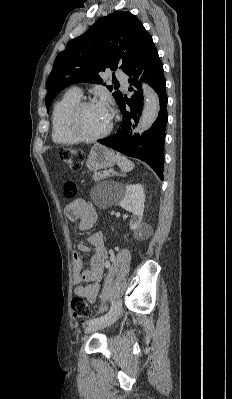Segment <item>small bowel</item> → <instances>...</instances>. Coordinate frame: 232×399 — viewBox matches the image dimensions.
I'll return each instance as SVG.
<instances>
[{"mask_svg":"<svg viewBox=\"0 0 232 399\" xmlns=\"http://www.w3.org/2000/svg\"><path fill=\"white\" fill-rule=\"evenodd\" d=\"M67 215L79 218V229L90 230L94 227L96 221V208L93 203L86 198H76L69 203L65 209ZM89 241L96 246L91 257L90 266L87 270L81 272L82 262L77 253L70 255V262L75 272L73 275V294L77 297L86 296L92 306L97 305V294L102 277V265L106 261L107 256L104 250V236L96 233L90 237ZM87 241H79L77 249L81 252L87 251ZM86 282L87 286L82 283Z\"/></svg>","mask_w":232,"mask_h":399,"instance_id":"c3829d8e","label":"small bowel"}]
</instances>
